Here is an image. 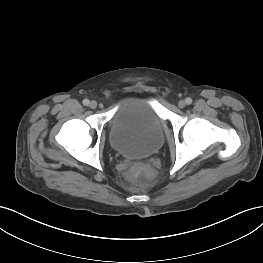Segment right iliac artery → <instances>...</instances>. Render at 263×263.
Here are the masks:
<instances>
[{"mask_svg": "<svg viewBox=\"0 0 263 263\" xmlns=\"http://www.w3.org/2000/svg\"><path fill=\"white\" fill-rule=\"evenodd\" d=\"M89 103H90V102H89V100H88V99H84V100H83V105H85V106H88V105H89Z\"/></svg>", "mask_w": 263, "mask_h": 263, "instance_id": "right-iliac-artery-1", "label": "right iliac artery"}]
</instances>
